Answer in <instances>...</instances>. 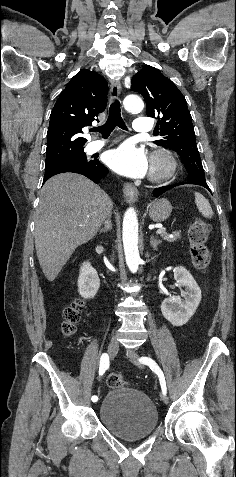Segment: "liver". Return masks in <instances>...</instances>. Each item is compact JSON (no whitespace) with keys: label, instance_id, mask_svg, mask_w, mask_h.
<instances>
[{"label":"liver","instance_id":"6515ba94","mask_svg":"<svg viewBox=\"0 0 236 477\" xmlns=\"http://www.w3.org/2000/svg\"><path fill=\"white\" fill-rule=\"evenodd\" d=\"M112 208L110 197L79 174H58L44 184L36 212L35 247L49 281L57 278L77 247L97 234Z\"/></svg>","mask_w":236,"mask_h":477}]
</instances>
